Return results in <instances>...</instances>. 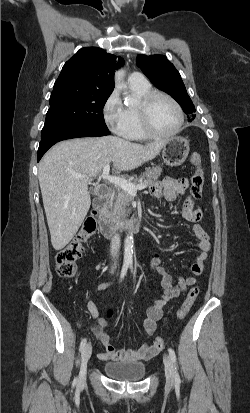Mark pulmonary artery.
I'll use <instances>...</instances> for the list:
<instances>
[{
  "label": "pulmonary artery",
  "mask_w": 250,
  "mask_h": 413,
  "mask_svg": "<svg viewBox=\"0 0 250 413\" xmlns=\"http://www.w3.org/2000/svg\"><path fill=\"white\" fill-rule=\"evenodd\" d=\"M128 83L131 86H145L148 84L145 76L139 72H133L128 77Z\"/></svg>",
  "instance_id": "pulmonary-artery-1"
}]
</instances>
